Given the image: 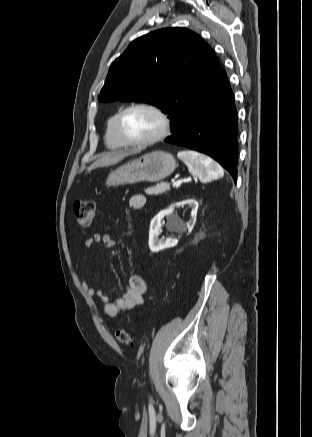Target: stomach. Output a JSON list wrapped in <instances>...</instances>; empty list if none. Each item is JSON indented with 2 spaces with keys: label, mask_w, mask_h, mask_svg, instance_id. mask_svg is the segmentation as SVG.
<instances>
[{
  "label": "stomach",
  "mask_w": 312,
  "mask_h": 437,
  "mask_svg": "<svg viewBox=\"0 0 312 437\" xmlns=\"http://www.w3.org/2000/svg\"><path fill=\"white\" fill-rule=\"evenodd\" d=\"M176 166L172 154L153 151L113 170L107 178L106 185L118 186L142 181L158 182L172 174Z\"/></svg>",
  "instance_id": "obj_1"
}]
</instances>
